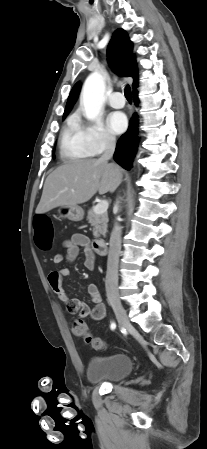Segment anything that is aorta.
I'll return each instance as SVG.
<instances>
[{"mask_svg":"<svg viewBox=\"0 0 207 449\" xmlns=\"http://www.w3.org/2000/svg\"><path fill=\"white\" fill-rule=\"evenodd\" d=\"M105 83L102 75L94 72L86 79L81 93V99L88 120H96L103 104Z\"/></svg>","mask_w":207,"mask_h":449,"instance_id":"aorta-1","label":"aorta"}]
</instances>
